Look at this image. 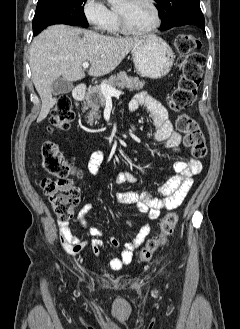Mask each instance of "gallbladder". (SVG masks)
Segmentation results:
<instances>
[{
    "mask_svg": "<svg viewBox=\"0 0 240 329\" xmlns=\"http://www.w3.org/2000/svg\"><path fill=\"white\" fill-rule=\"evenodd\" d=\"M73 83L64 78H57L53 81L51 89L54 95L66 94L72 91Z\"/></svg>",
    "mask_w": 240,
    "mask_h": 329,
    "instance_id": "obj_1",
    "label": "gallbladder"
}]
</instances>
